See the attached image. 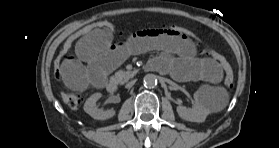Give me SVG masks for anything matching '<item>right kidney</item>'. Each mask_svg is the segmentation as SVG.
I'll return each instance as SVG.
<instances>
[{
    "label": "right kidney",
    "instance_id": "right-kidney-1",
    "mask_svg": "<svg viewBox=\"0 0 279 148\" xmlns=\"http://www.w3.org/2000/svg\"><path fill=\"white\" fill-rule=\"evenodd\" d=\"M102 96L101 93H94L91 95L84 104V111L89 114L92 118L97 120H106L115 115V110H102L98 109L96 106V102Z\"/></svg>",
    "mask_w": 279,
    "mask_h": 148
}]
</instances>
